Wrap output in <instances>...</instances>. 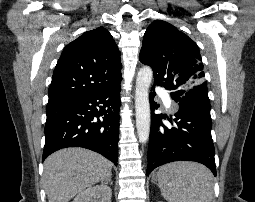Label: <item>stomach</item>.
<instances>
[{
  "instance_id": "1",
  "label": "stomach",
  "mask_w": 255,
  "mask_h": 202,
  "mask_svg": "<svg viewBox=\"0 0 255 202\" xmlns=\"http://www.w3.org/2000/svg\"><path fill=\"white\" fill-rule=\"evenodd\" d=\"M153 181H154V182H155V181H158L157 176H156V177H153Z\"/></svg>"
}]
</instances>
